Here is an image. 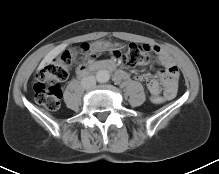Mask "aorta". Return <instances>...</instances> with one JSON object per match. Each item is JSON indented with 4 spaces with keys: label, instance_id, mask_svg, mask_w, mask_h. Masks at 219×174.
Instances as JSON below:
<instances>
[{
    "label": "aorta",
    "instance_id": "aorta-1",
    "mask_svg": "<svg viewBox=\"0 0 219 174\" xmlns=\"http://www.w3.org/2000/svg\"><path fill=\"white\" fill-rule=\"evenodd\" d=\"M96 79L100 83L108 82L110 79V73L107 70H100L96 74Z\"/></svg>",
    "mask_w": 219,
    "mask_h": 174
}]
</instances>
